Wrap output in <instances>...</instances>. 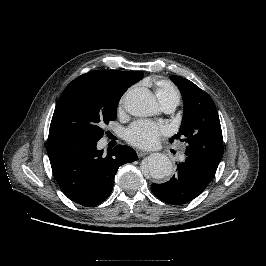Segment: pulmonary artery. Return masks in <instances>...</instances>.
Listing matches in <instances>:
<instances>
[{
  "label": "pulmonary artery",
  "mask_w": 266,
  "mask_h": 266,
  "mask_svg": "<svg viewBox=\"0 0 266 266\" xmlns=\"http://www.w3.org/2000/svg\"><path fill=\"white\" fill-rule=\"evenodd\" d=\"M177 102L175 101H168V102H164L162 103V109L167 112V113H170V112H173L177 106ZM183 157V156H181Z\"/></svg>",
  "instance_id": "pulmonary-artery-1"
}]
</instances>
